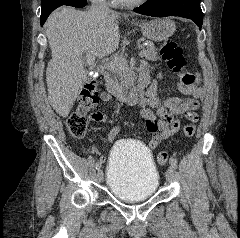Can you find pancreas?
I'll return each instance as SVG.
<instances>
[{
	"label": "pancreas",
	"mask_w": 240,
	"mask_h": 238,
	"mask_svg": "<svg viewBox=\"0 0 240 238\" xmlns=\"http://www.w3.org/2000/svg\"><path fill=\"white\" fill-rule=\"evenodd\" d=\"M143 57L148 61L158 60L159 56L156 47L154 45L147 46ZM116 59H118L120 63L114 68L108 69L111 74L105 73V79L112 83H124L130 74L128 63L124 54H120Z\"/></svg>",
	"instance_id": "pancreas-1"
}]
</instances>
